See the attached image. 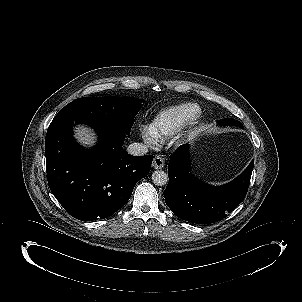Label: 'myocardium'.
<instances>
[{
    "instance_id": "obj_1",
    "label": "myocardium",
    "mask_w": 302,
    "mask_h": 302,
    "mask_svg": "<svg viewBox=\"0 0 302 302\" xmlns=\"http://www.w3.org/2000/svg\"><path fill=\"white\" fill-rule=\"evenodd\" d=\"M200 116L197 114L190 119L174 136L171 138L172 143H179L188 134V132L198 123Z\"/></svg>"
}]
</instances>
